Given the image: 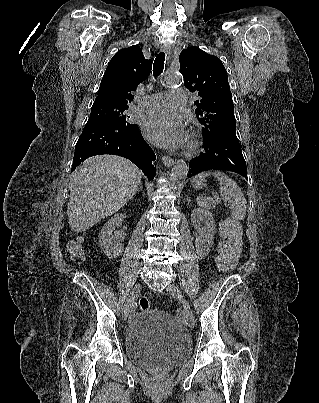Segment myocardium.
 <instances>
[{"instance_id":"myocardium-1","label":"myocardium","mask_w":319,"mask_h":403,"mask_svg":"<svg viewBox=\"0 0 319 403\" xmlns=\"http://www.w3.org/2000/svg\"><path fill=\"white\" fill-rule=\"evenodd\" d=\"M199 146H200V139L196 134L193 133L189 138L184 153L186 155H194L198 151Z\"/></svg>"}]
</instances>
